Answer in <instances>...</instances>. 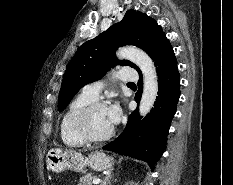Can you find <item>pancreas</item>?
Listing matches in <instances>:
<instances>
[{
  "label": "pancreas",
  "instance_id": "cf45deb5",
  "mask_svg": "<svg viewBox=\"0 0 233 185\" xmlns=\"http://www.w3.org/2000/svg\"><path fill=\"white\" fill-rule=\"evenodd\" d=\"M96 179V176L91 174H86L85 176L80 178V181L77 185H92V181Z\"/></svg>",
  "mask_w": 233,
  "mask_h": 185
}]
</instances>
